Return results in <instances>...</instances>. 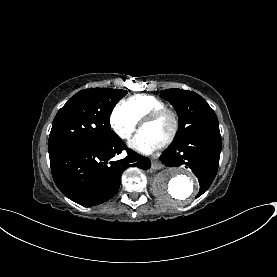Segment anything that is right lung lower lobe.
Segmentation results:
<instances>
[{
    "label": "right lung lower lobe",
    "instance_id": "1",
    "mask_svg": "<svg viewBox=\"0 0 277 277\" xmlns=\"http://www.w3.org/2000/svg\"><path fill=\"white\" fill-rule=\"evenodd\" d=\"M125 149L117 136L100 144L71 146L52 152L49 157L54 182L65 196L80 205L106 202L118 192L121 175L128 167L150 168L148 158L131 150L124 159H112Z\"/></svg>",
    "mask_w": 277,
    "mask_h": 277
}]
</instances>
